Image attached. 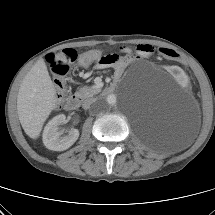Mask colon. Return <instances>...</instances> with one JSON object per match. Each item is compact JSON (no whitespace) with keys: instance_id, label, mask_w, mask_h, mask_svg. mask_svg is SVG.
Here are the masks:
<instances>
[{"instance_id":"obj_1","label":"colon","mask_w":215,"mask_h":215,"mask_svg":"<svg viewBox=\"0 0 215 215\" xmlns=\"http://www.w3.org/2000/svg\"><path fill=\"white\" fill-rule=\"evenodd\" d=\"M159 55L170 61H178L179 63L186 64L188 59L181 56L173 49L160 47L158 49ZM99 56L97 51L91 50L80 55L79 60L83 65L89 64L91 61ZM78 59V54L73 49H65L59 53H51L47 56V62L54 74V84L57 91L58 100L61 101L66 92L65 75L69 70V65ZM185 69L189 70L190 65L186 64Z\"/></svg>"}]
</instances>
